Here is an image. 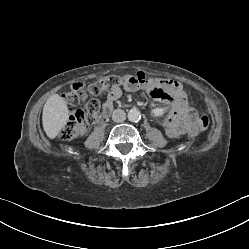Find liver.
<instances>
[{
    "mask_svg": "<svg viewBox=\"0 0 249 249\" xmlns=\"http://www.w3.org/2000/svg\"><path fill=\"white\" fill-rule=\"evenodd\" d=\"M68 120L67 102L58 94L48 98L42 115V124L47 136L54 139L64 128Z\"/></svg>",
    "mask_w": 249,
    "mask_h": 249,
    "instance_id": "obj_1",
    "label": "liver"
}]
</instances>
